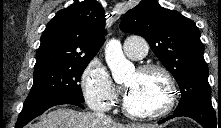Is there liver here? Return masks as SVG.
<instances>
[{
  "mask_svg": "<svg viewBox=\"0 0 221 128\" xmlns=\"http://www.w3.org/2000/svg\"><path fill=\"white\" fill-rule=\"evenodd\" d=\"M30 128H162L152 124L123 125L111 119H97L91 112H80L68 108L50 111Z\"/></svg>",
  "mask_w": 221,
  "mask_h": 128,
  "instance_id": "liver-1",
  "label": "liver"
}]
</instances>
